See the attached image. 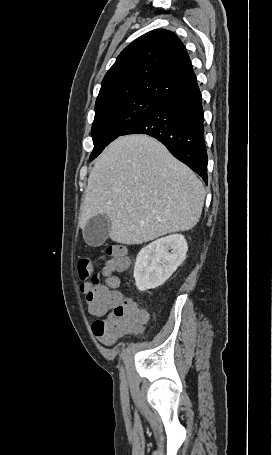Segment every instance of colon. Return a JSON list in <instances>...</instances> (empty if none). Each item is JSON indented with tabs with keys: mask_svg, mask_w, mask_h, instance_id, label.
<instances>
[{
	"mask_svg": "<svg viewBox=\"0 0 272 455\" xmlns=\"http://www.w3.org/2000/svg\"><path fill=\"white\" fill-rule=\"evenodd\" d=\"M104 258L103 273L108 277L105 282H100L98 274L93 273L95 262L88 257L78 261V273L88 311L98 317L92 323L93 334L103 344L110 345L126 333L138 332L146 314L134 301L122 297L117 290V280L111 277L112 273L128 268L126 249L108 246Z\"/></svg>",
	"mask_w": 272,
	"mask_h": 455,
	"instance_id": "obj_1",
	"label": "colon"
}]
</instances>
